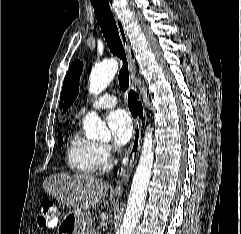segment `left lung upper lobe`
<instances>
[{
    "mask_svg": "<svg viewBox=\"0 0 241 234\" xmlns=\"http://www.w3.org/2000/svg\"><path fill=\"white\" fill-rule=\"evenodd\" d=\"M83 65L76 60L69 68V71L64 79L63 88L60 96V108L66 112L68 107L73 103L78 95L79 79Z\"/></svg>",
    "mask_w": 241,
    "mask_h": 234,
    "instance_id": "1",
    "label": "left lung upper lobe"
}]
</instances>
